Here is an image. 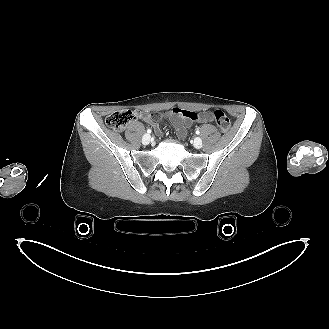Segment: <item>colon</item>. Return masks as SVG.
Returning <instances> with one entry per match:
<instances>
[{"label": "colon", "instance_id": "colon-1", "mask_svg": "<svg viewBox=\"0 0 329 329\" xmlns=\"http://www.w3.org/2000/svg\"><path fill=\"white\" fill-rule=\"evenodd\" d=\"M137 115L138 113L128 109L115 111L106 116L105 123L109 128L119 132L133 122ZM213 118L223 133L229 131L231 123L228 116L222 110H215L213 112Z\"/></svg>", "mask_w": 329, "mask_h": 329}]
</instances>
